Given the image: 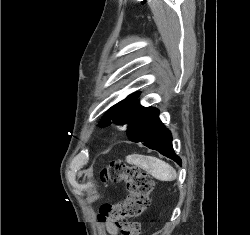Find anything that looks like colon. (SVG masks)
Segmentation results:
<instances>
[{
    "label": "colon",
    "mask_w": 250,
    "mask_h": 235,
    "mask_svg": "<svg viewBox=\"0 0 250 235\" xmlns=\"http://www.w3.org/2000/svg\"><path fill=\"white\" fill-rule=\"evenodd\" d=\"M101 180L104 183L123 182L127 197L123 203L102 205L99 221L106 225H115L122 235H140L141 226L135 218L142 215L149 206L153 189L152 177L119 160L110 163L103 170Z\"/></svg>",
    "instance_id": "colon-1"
}]
</instances>
